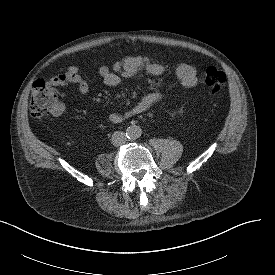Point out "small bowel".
Masks as SVG:
<instances>
[{
    "mask_svg": "<svg viewBox=\"0 0 275 275\" xmlns=\"http://www.w3.org/2000/svg\"><path fill=\"white\" fill-rule=\"evenodd\" d=\"M141 70H145L152 76H161L165 71L162 64L152 61L148 56L136 55L116 61L111 67L107 65L101 66L99 76L106 86L115 87L123 78L132 77ZM175 74L184 87L192 88L198 82L197 71L195 67L190 64H179L175 69ZM51 84L57 87L76 86L78 93L83 96L88 94L90 90L89 83L82 77L76 66H69L64 72L53 77ZM160 99V92H148L127 112L110 114L109 120L113 123H119L128 118L140 115L148 111ZM62 112L63 106L61 104L52 111L55 116L62 114Z\"/></svg>",
    "mask_w": 275,
    "mask_h": 275,
    "instance_id": "1",
    "label": "small bowel"
}]
</instances>
